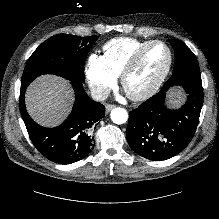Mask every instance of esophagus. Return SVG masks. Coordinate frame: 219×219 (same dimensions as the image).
I'll use <instances>...</instances> for the list:
<instances>
[{"label": "esophagus", "mask_w": 219, "mask_h": 219, "mask_svg": "<svg viewBox=\"0 0 219 219\" xmlns=\"http://www.w3.org/2000/svg\"><path fill=\"white\" fill-rule=\"evenodd\" d=\"M113 108H115V105L107 104L106 105V113H109Z\"/></svg>", "instance_id": "obj_1"}]
</instances>
